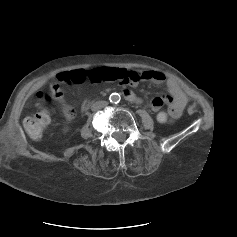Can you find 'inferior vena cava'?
Masks as SVG:
<instances>
[{
  "mask_svg": "<svg viewBox=\"0 0 237 237\" xmlns=\"http://www.w3.org/2000/svg\"><path fill=\"white\" fill-rule=\"evenodd\" d=\"M107 105H108L107 101H96L95 103L92 104L91 110L97 111V110L104 108Z\"/></svg>",
  "mask_w": 237,
  "mask_h": 237,
  "instance_id": "inferior-vena-cava-1",
  "label": "inferior vena cava"
}]
</instances>
